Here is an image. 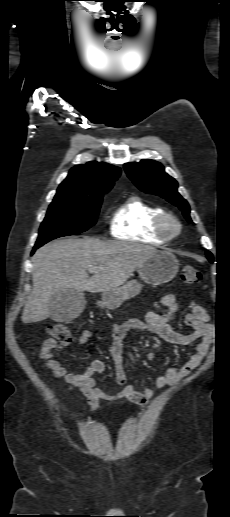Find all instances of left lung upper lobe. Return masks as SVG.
I'll list each match as a JSON object with an SVG mask.
<instances>
[{
    "mask_svg": "<svg viewBox=\"0 0 230 517\" xmlns=\"http://www.w3.org/2000/svg\"><path fill=\"white\" fill-rule=\"evenodd\" d=\"M125 171L133 183L142 191L159 195L180 208L188 222L190 208L187 201L178 193L177 181L164 171V167L156 161L144 159L140 162L124 164ZM206 256L213 262V255L206 251Z\"/></svg>",
    "mask_w": 230,
    "mask_h": 517,
    "instance_id": "obj_1",
    "label": "left lung upper lobe"
}]
</instances>
